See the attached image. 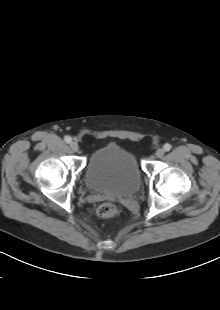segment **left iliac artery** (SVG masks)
<instances>
[{
	"label": "left iliac artery",
	"mask_w": 220,
	"mask_h": 310,
	"mask_svg": "<svg viewBox=\"0 0 220 310\" xmlns=\"http://www.w3.org/2000/svg\"><path fill=\"white\" fill-rule=\"evenodd\" d=\"M163 148H164L165 151H170L171 150V145L166 143Z\"/></svg>",
	"instance_id": "obj_1"
}]
</instances>
